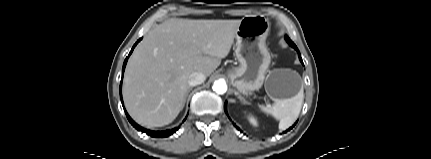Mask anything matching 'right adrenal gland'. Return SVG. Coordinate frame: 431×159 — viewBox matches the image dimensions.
Returning <instances> with one entry per match:
<instances>
[{
	"instance_id": "right-adrenal-gland-1",
	"label": "right adrenal gland",
	"mask_w": 431,
	"mask_h": 159,
	"mask_svg": "<svg viewBox=\"0 0 431 159\" xmlns=\"http://www.w3.org/2000/svg\"><path fill=\"white\" fill-rule=\"evenodd\" d=\"M191 90H192V88H189V89H188L186 96L188 95V93H189Z\"/></svg>"
}]
</instances>
